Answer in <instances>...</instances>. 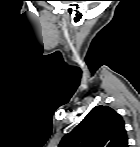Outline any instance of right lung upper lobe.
I'll use <instances>...</instances> for the list:
<instances>
[{"label": "right lung upper lobe", "mask_w": 140, "mask_h": 147, "mask_svg": "<svg viewBox=\"0 0 140 147\" xmlns=\"http://www.w3.org/2000/svg\"><path fill=\"white\" fill-rule=\"evenodd\" d=\"M124 120L108 106L94 107L59 147H128Z\"/></svg>", "instance_id": "obj_1"}]
</instances>
